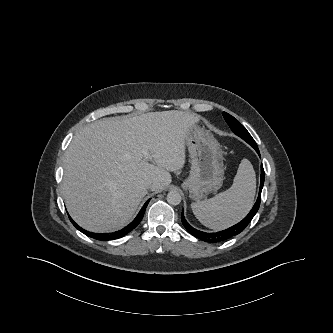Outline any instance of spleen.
Instances as JSON below:
<instances>
[{"mask_svg":"<svg viewBox=\"0 0 333 333\" xmlns=\"http://www.w3.org/2000/svg\"><path fill=\"white\" fill-rule=\"evenodd\" d=\"M255 190V171L250 161L243 159L229 189L208 200L193 202L191 208L206 227L224 229L246 216L253 205Z\"/></svg>","mask_w":333,"mask_h":333,"instance_id":"spleen-1","label":"spleen"}]
</instances>
